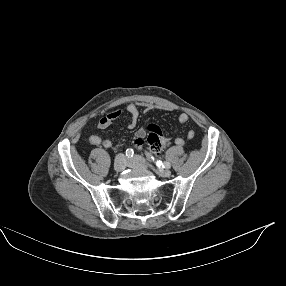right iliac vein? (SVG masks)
I'll use <instances>...</instances> for the list:
<instances>
[{"instance_id":"63e3f726","label":"right iliac vein","mask_w":286,"mask_h":286,"mask_svg":"<svg viewBox=\"0 0 286 286\" xmlns=\"http://www.w3.org/2000/svg\"><path fill=\"white\" fill-rule=\"evenodd\" d=\"M127 159L123 154H120L116 157L114 162V170L116 172H122L127 166Z\"/></svg>"}]
</instances>
